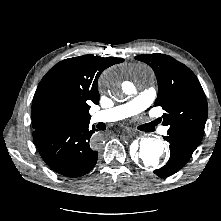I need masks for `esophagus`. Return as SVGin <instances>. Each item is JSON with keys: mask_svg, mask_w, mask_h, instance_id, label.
Returning a JSON list of instances; mask_svg holds the SVG:
<instances>
[{"mask_svg": "<svg viewBox=\"0 0 221 221\" xmlns=\"http://www.w3.org/2000/svg\"><path fill=\"white\" fill-rule=\"evenodd\" d=\"M135 135H136V133L133 132V131H126V136H127V137H133V136H135Z\"/></svg>", "mask_w": 221, "mask_h": 221, "instance_id": "1", "label": "esophagus"}]
</instances>
